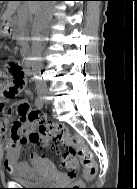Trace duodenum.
Returning a JSON list of instances; mask_svg holds the SVG:
<instances>
[{
  "label": "duodenum",
  "instance_id": "410a0bca",
  "mask_svg": "<svg viewBox=\"0 0 137 189\" xmlns=\"http://www.w3.org/2000/svg\"><path fill=\"white\" fill-rule=\"evenodd\" d=\"M13 27H14V20L12 18L6 19L4 21V29L7 35H10L12 33Z\"/></svg>",
  "mask_w": 137,
  "mask_h": 189
}]
</instances>
